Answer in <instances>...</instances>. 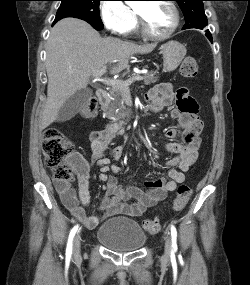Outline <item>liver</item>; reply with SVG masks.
Listing matches in <instances>:
<instances>
[{
    "label": "liver",
    "mask_w": 250,
    "mask_h": 285,
    "mask_svg": "<svg viewBox=\"0 0 250 285\" xmlns=\"http://www.w3.org/2000/svg\"><path fill=\"white\" fill-rule=\"evenodd\" d=\"M155 47V44L137 45L113 37L102 38L88 23L79 19L59 21L47 41V102L41 129L56 120L59 110L72 95L87 87L94 72L114 64L110 73H120L128 67L131 56L150 53Z\"/></svg>",
    "instance_id": "6515ba94"
}]
</instances>
